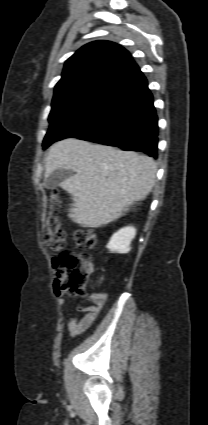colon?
<instances>
[{
  "mask_svg": "<svg viewBox=\"0 0 208 425\" xmlns=\"http://www.w3.org/2000/svg\"><path fill=\"white\" fill-rule=\"evenodd\" d=\"M57 192L50 197V211L44 222V244L53 255V267L61 282V292L74 297H85L91 261L87 254L94 249L98 235L91 228L77 229L73 234L75 246L80 252L65 249V231L61 220L55 212Z\"/></svg>",
  "mask_w": 208,
  "mask_h": 425,
  "instance_id": "colon-1",
  "label": "colon"
}]
</instances>
